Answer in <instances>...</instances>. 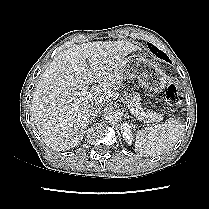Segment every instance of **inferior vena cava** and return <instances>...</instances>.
Segmentation results:
<instances>
[{
	"instance_id": "1",
	"label": "inferior vena cava",
	"mask_w": 209,
	"mask_h": 209,
	"mask_svg": "<svg viewBox=\"0 0 209 209\" xmlns=\"http://www.w3.org/2000/svg\"><path fill=\"white\" fill-rule=\"evenodd\" d=\"M102 106L99 103L92 105L88 110V115L96 116L101 111Z\"/></svg>"
}]
</instances>
